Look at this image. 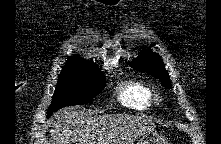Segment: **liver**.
Segmentation results:
<instances>
[{"mask_svg":"<svg viewBox=\"0 0 221 144\" xmlns=\"http://www.w3.org/2000/svg\"><path fill=\"white\" fill-rule=\"evenodd\" d=\"M49 144H133L154 132V123L131 114L87 116L78 107H65L50 119Z\"/></svg>","mask_w":221,"mask_h":144,"instance_id":"1","label":"liver"}]
</instances>
